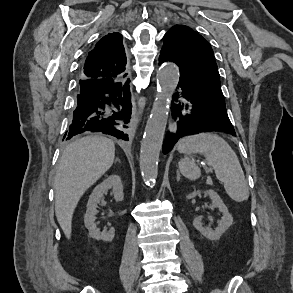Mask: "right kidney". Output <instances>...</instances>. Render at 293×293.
<instances>
[{"label": "right kidney", "mask_w": 293, "mask_h": 293, "mask_svg": "<svg viewBox=\"0 0 293 293\" xmlns=\"http://www.w3.org/2000/svg\"><path fill=\"white\" fill-rule=\"evenodd\" d=\"M110 189H112V194L117 202L123 200L124 193L121 179L117 175H111L94 188L89 197L86 214L84 215V223L89 231V235L96 240H103L107 242L114 238L115 231L111 228L108 232H101L95 224V215L97 213V204L100 203L103 196L107 194Z\"/></svg>", "instance_id": "1"}]
</instances>
